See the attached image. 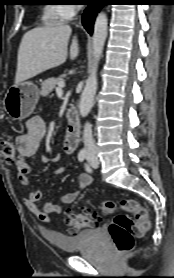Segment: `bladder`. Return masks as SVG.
Here are the masks:
<instances>
[{
  "instance_id": "bladder-1",
  "label": "bladder",
  "mask_w": 174,
  "mask_h": 278,
  "mask_svg": "<svg viewBox=\"0 0 174 278\" xmlns=\"http://www.w3.org/2000/svg\"><path fill=\"white\" fill-rule=\"evenodd\" d=\"M101 230L99 228H88L73 235H64L56 232H49L47 240L55 247L64 252H74L88 247L99 239Z\"/></svg>"
}]
</instances>
